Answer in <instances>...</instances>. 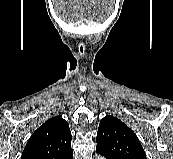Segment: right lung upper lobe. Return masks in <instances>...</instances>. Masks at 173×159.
<instances>
[{"label":"right lung upper lobe","instance_id":"1","mask_svg":"<svg viewBox=\"0 0 173 159\" xmlns=\"http://www.w3.org/2000/svg\"><path fill=\"white\" fill-rule=\"evenodd\" d=\"M68 123L56 116L47 120L30 137L21 159H66L73 153Z\"/></svg>","mask_w":173,"mask_h":159}]
</instances>
